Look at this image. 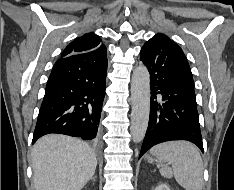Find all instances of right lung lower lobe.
Masks as SVG:
<instances>
[{"label": "right lung lower lobe", "instance_id": "1", "mask_svg": "<svg viewBox=\"0 0 234 190\" xmlns=\"http://www.w3.org/2000/svg\"><path fill=\"white\" fill-rule=\"evenodd\" d=\"M107 51L60 58L48 79L33 141L48 133L96 141L105 96Z\"/></svg>", "mask_w": 234, "mask_h": 190}]
</instances>
